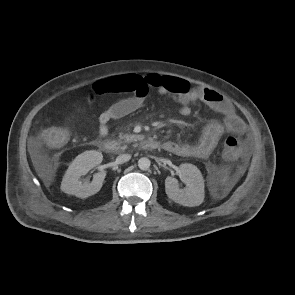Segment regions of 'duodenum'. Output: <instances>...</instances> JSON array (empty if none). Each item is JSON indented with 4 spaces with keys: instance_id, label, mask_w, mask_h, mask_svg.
Segmentation results:
<instances>
[{
    "instance_id": "410a0bca",
    "label": "duodenum",
    "mask_w": 295,
    "mask_h": 295,
    "mask_svg": "<svg viewBox=\"0 0 295 295\" xmlns=\"http://www.w3.org/2000/svg\"><path fill=\"white\" fill-rule=\"evenodd\" d=\"M97 146L105 153H113L118 149V144L115 141L110 140H98ZM141 146L147 150H154L159 148L161 145L159 142L153 139H145L141 142Z\"/></svg>"
}]
</instances>
